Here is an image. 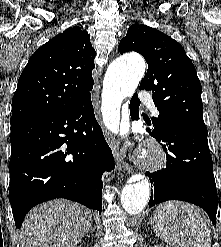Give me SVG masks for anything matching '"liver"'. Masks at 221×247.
Here are the masks:
<instances>
[{
	"label": "liver",
	"mask_w": 221,
	"mask_h": 247,
	"mask_svg": "<svg viewBox=\"0 0 221 247\" xmlns=\"http://www.w3.org/2000/svg\"><path fill=\"white\" fill-rule=\"evenodd\" d=\"M90 225V210L69 200H52L27 214L21 247H76Z\"/></svg>",
	"instance_id": "1"
}]
</instances>
